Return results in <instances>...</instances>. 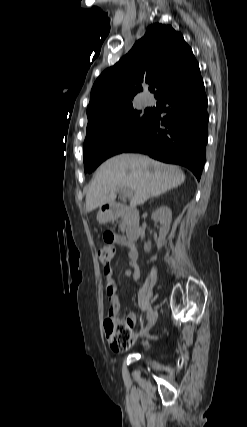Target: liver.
Returning a JSON list of instances; mask_svg holds the SVG:
<instances>
[{"label": "liver", "instance_id": "6515ba94", "mask_svg": "<svg viewBox=\"0 0 247 427\" xmlns=\"http://www.w3.org/2000/svg\"><path fill=\"white\" fill-rule=\"evenodd\" d=\"M184 172L139 154H120L105 161L97 170L86 195V211L113 203L119 189L133 192V206L178 187Z\"/></svg>", "mask_w": 247, "mask_h": 427}]
</instances>
